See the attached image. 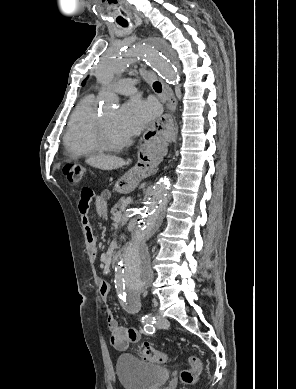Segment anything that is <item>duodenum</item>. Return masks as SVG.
<instances>
[{"label": "duodenum", "mask_w": 296, "mask_h": 389, "mask_svg": "<svg viewBox=\"0 0 296 389\" xmlns=\"http://www.w3.org/2000/svg\"><path fill=\"white\" fill-rule=\"evenodd\" d=\"M117 260H118V253L115 252V253L112 255V257H111V265L114 266L115 263L117 262Z\"/></svg>", "instance_id": "duodenum-1"}]
</instances>
